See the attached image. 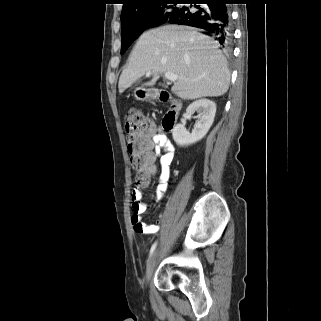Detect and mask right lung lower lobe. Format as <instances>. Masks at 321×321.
Here are the masks:
<instances>
[{
  "instance_id": "right-lung-lower-lobe-1",
  "label": "right lung lower lobe",
  "mask_w": 321,
  "mask_h": 321,
  "mask_svg": "<svg viewBox=\"0 0 321 321\" xmlns=\"http://www.w3.org/2000/svg\"><path fill=\"white\" fill-rule=\"evenodd\" d=\"M231 0H187L166 23L202 28L210 32L223 46L231 42V22L227 4Z\"/></svg>"
}]
</instances>
